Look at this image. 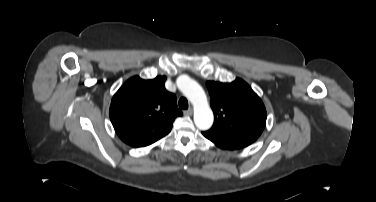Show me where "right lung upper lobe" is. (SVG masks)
<instances>
[{
  "instance_id": "obj_1",
  "label": "right lung upper lobe",
  "mask_w": 376,
  "mask_h": 202,
  "mask_svg": "<svg viewBox=\"0 0 376 202\" xmlns=\"http://www.w3.org/2000/svg\"><path fill=\"white\" fill-rule=\"evenodd\" d=\"M165 76L143 80L135 76L113 96L110 119L126 144L148 146L167 135L174 119L182 115L174 94L164 87Z\"/></svg>"
}]
</instances>
